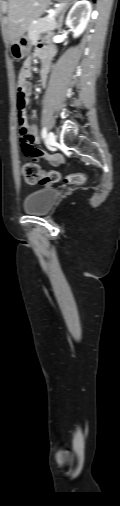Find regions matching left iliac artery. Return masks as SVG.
Instances as JSON below:
<instances>
[{
  "label": "left iliac artery",
  "instance_id": "left-iliac-artery-1",
  "mask_svg": "<svg viewBox=\"0 0 120 506\" xmlns=\"http://www.w3.org/2000/svg\"><path fill=\"white\" fill-rule=\"evenodd\" d=\"M41 135H42L43 139H45L47 137V129H46V127H43Z\"/></svg>",
  "mask_w": 120,
  "mask_h": 506
}]
</instances>
